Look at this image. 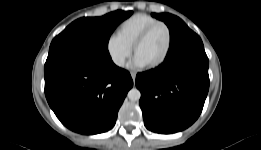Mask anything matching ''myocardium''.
I'll return each instance as SVG.
<instances>
[{
  "label": "myocardium",
  "mask_w": 261,
  "mask_h": 150,
  "mask_svg": "<svg viewBox=\"0 0 261 150\" xmlns=\"http://www.w3.org/2000/svg\"><path fill=\"white\" fill-rule=\"evenodd\" d=\"M158 26H162L166 29L167 36H168V44H167L166 51H165L164 55L162 56V58L159 59L157 62L147 66L150 69H155V68L162 66L167 61V59L170 55V52L172 49L173 37H172V31H171V28L169 27V25L163 21H157L155 23H152L147 28H145L143 30V32L137 37V39L135 40L133 47H132L133 53L136 54L138 47L148 38V36L151 34V32Z\"/></svg>",
  "instance_id": "f54148a6"
}]
</instances>
